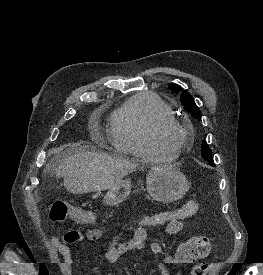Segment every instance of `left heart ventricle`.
Here are the masks:
<instances>
[{"mask_svg":"<svg viewBox=\"0 0 263 275\" xmlns=\"http://www.w3.org/2000/svg\"><path fill=\"white\" fill-rule=\"evenodd\" d=\"M163 138L166 140V141H173L175 139V136L174 134L172 133H165L163 134Z\"/></svg>","mask_w":263,"mask_h":275,"instance_id":"obj_1","label":"left heart ventricle"}]
</instances>
